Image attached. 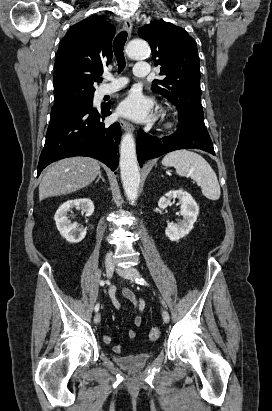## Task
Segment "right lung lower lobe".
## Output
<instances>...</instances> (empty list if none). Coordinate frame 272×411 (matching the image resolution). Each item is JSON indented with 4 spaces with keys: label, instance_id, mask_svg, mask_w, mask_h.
<instances>
[{
    "label": "right lung lower lobe",
    "instance_id": "right-lung-lower-lobe-1",
    "mask_svg": "<svg viewBox=\"0 0 272 411\" xmlns=\"http://www.w3.org/2000/svg\"><path fill=\"white\" fill-rule=\"evenodd\" d=\"M110 114V104L96 109L90 103L51 116L37 176L50 163L72 156L98 159L114 171L121 128L119 123L103 122Z\"/></svg>",
    "mask_w": 272,
    "mask_h": 411
}]
</instances>
